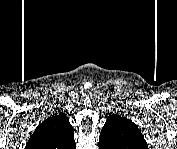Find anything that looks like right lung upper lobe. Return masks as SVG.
Returning a JSON list of instances; mask_svg holds the SVG:
<instances>
[{"label":"right lung upper lobe","mask_w":177,"mask_h":149,"mask_svg":"<svg viewBox=\"0 0 177 149\" xmlns=\"http://www.w3.org/2000/svg\"><path fill=\"white\" fill-rule=\"evenodd\" d=\"M28 149H74V131L65 113L43 121L27 142Z\"/></svg>","instance_id":"obj_1"}]
</instances>
